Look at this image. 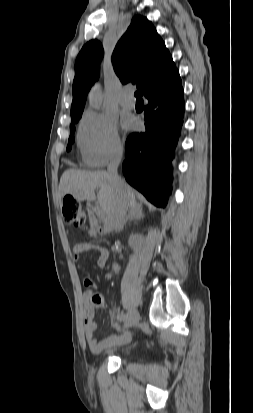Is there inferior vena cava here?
<instances>
[{
	"mask_svg": "<svg viewBox=\"0 0 253 413\" xmlns=\"http://www.w3.org/2000/svg\"><path fill=\"white\" fill-rule=\"evenodd\" d=\"M122 149H118L113 153L107 167V173L111 180L115 191L113 207L107 214V219L104 225L105 232H111L118 229L126 218L127 199L124 184L118 176V166L122 159Z\"/></svg>",
	"mask_w": 253,
	"mask_h": 413,
	"instance_id": "1",
	"label": "inferior vena cava"
}]
</instances>
